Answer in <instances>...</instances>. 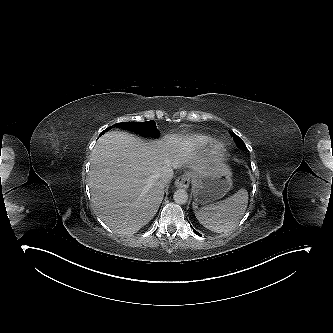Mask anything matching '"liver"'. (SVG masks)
<instances>
[{"label":"liver","instance_id":"1","mask_svg":"<svg viewBox=\"0 0 333 333\" xmlns=\"http://www.w3.org/2000/svg\"><path fill=\"white\" fill-rule=\"evenodd\" d=\"M89 187L94 210L113 231L138 232L156 215L164 197L161 170L189 164L195 174L208 169L194 143L176 134L143 142L123 131L99 138L91 153Z\"/></svg>","mask_w":333,"mask_h":333}]
</instances>
